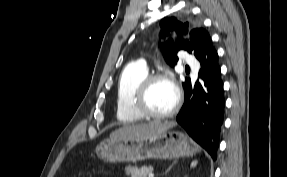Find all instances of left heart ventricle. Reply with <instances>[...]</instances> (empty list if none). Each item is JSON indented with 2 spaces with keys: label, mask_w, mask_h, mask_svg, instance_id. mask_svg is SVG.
I'll return each mask as SVG.
<instances>
[{
  "label": "left heart ventricle",
  "mask_w": 287,
  "mask_h": 177,
  "mask_svg": "<svg viewBox=\"0 0 287 177\" xmlns=\"http://www.w3.org/2000/svg\"><path fill=\"white\" fill-rule=\"evenodd\" d=\"M175 103V91L166 81L155 82L147 95L146 105L154 113H163L172 108Z\"/></svg>",
  "instance_id": "obj_1"
}]
</instances>
